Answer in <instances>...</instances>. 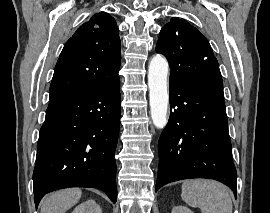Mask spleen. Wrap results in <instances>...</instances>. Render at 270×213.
<instances>
[{
    "instance_id": "1",
    "label": "spleen",
    "mask_w": 270,
    "mask_h": 213,
    "mask_svg": "<svg viewBox=\"0 0 270 213\" xmlns=\"http://www.w3.org/2000/svg\"><path fill=\"white\" fill-rule=\"evenodd\" d=\"M181 197L202 213H232V199L225 186L214 180L191 179L182 184Z\"/></svg>"
}]
</instances>
